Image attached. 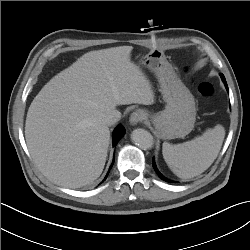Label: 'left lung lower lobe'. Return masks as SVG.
<instances>
[{"label": "left lung lower lobe", "mask_w": 250, "mask_h": 250, "mask_svg": "<svg viewBox=\"0 0 250 250\" xmlns=\"http://www.w3.org/2000/svg\"><path fill=\"white\" fill-rule=\"evenodd\" d=\"M220 76H221L222 81L224 82V85H225L226 89L228 90V86H227V83H226V80H225L224 75H223V74H220ZM152 165H153L154 170L156 171V173L158 174V176H159L161 179H163L164 181L169 182V183L172 182V181L166 179V178L158 171L154 159H153V164H152Z\"/></svg>", "instance_id": "obj_1"}]
</instances>
